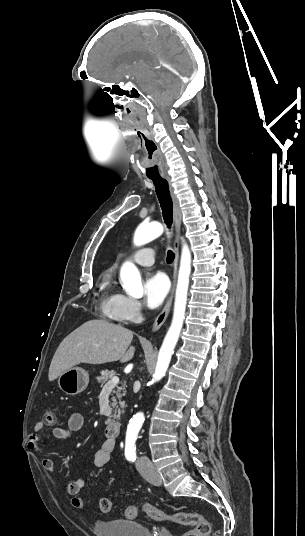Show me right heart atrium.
Listing matches in <instances>:
<instances>
[{
  "label": "right heart atrium",
  "mask_w": 305,
  "mask_h": 536,
  "mask_svg": "<svg viewBox=\"0 0 305 536\" xmlns=\"http://www.w3.org/2000/svg\"><path fill=\"white\" fill-rule=\"evenodd\" d=\"M141 304L129 297L120 295L115 312L122 322L134 321L141 314Z\"/></svg>",
  "instance_id": "obj_1"
}]
</instances>
